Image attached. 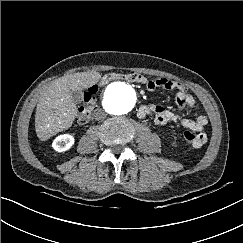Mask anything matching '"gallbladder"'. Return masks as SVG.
<instances>
[{
	"instance_id": "bac80fb5",
	"label": "gallbladder",
	"mask_w": 243,
	"mask_h": 243,
	"mask_svg": "<svg viewBox=\"0 0 243 243\" xmlns=\"http://www.w3.org/2000/svg\"><path fill=\"white\" fill-rule=\"evenodd\" d=\"M71 95H72V101L75 103V104H79L81 101H82V92L81 91H71Z\"/></svg>"
}]
</instances>
